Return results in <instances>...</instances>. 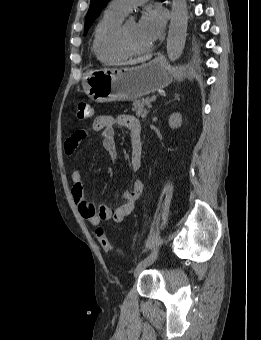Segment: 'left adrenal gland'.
Masks as SVG:
<instances>
[{"instance_id":"a2214340","label":"left adrenal gland","mask_w":261,"mask_h":340,"mask_svg":"<svg viewBox=\"0 0 261 340\" xmlns=\"http://www.w3.org/2000/svg\"><path fill=\"white\" fill-rule=\"evenodd\" d=\"M179 99H180L179 95H178V94H175V95H174V99H173L172 101H176V100H179Z\"/></svg>"}]
</instances>
